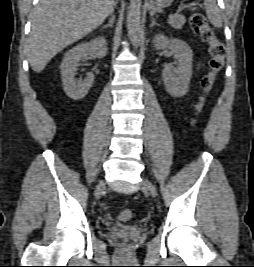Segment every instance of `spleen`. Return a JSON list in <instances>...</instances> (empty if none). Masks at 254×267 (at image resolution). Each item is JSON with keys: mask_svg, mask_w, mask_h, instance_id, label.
<instances>
[{"mask_svg": "<svg viewBox=\"0 0 254 267\" xmlns=\"http://www.w3.org/2000/svg\"><path fill=\"white\" fill-rule=\"evenodd\" d=\"M206 15L211 24L217 28L222 27V16L216 4V0H204Z\"/></svg>", "mask_w": 254, "mask_h": 267, "instance_id": "obj_1", "label": "spleen"}]
</instances>
